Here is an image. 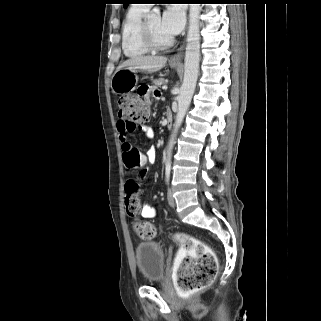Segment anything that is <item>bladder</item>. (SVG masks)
Returning <instances> with one entry per match:
<instances>
[{
  "label": "bladder",
  "instance_id": "1",
  "mask_svg": "<svg viewBox=\"0 0 321 321\" xmlns=\"http://www.w3.org/2000/svg\"><path fill=\"white\" fill-rule=\"evenodd\" d=\"M138 270L144 281L157 283L165 272V255L161 246L153 241H143L135 247Z\"/></svg>",
  "mask_w": 321,
  "mask_h": 321
}]
</instances>
